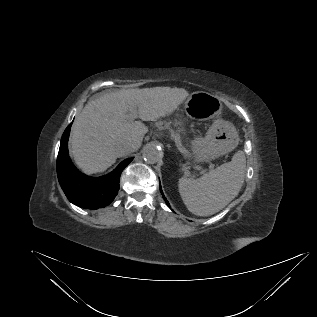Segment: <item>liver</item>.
I'll use <instances>...</instances> for the list:
<instances>
[{"label":"liver","instance_id":"liver-1","mask_svg":"<svg viewBox=\"0 0 317 317\" xmlns=\"http://www.w3.org/2000/svg\"><path fill=\"white\" fill-rule=\"evenodd\" d=\"M183 88L123 89L89 101L75 118L70 147L76 165L87 174L103 172L118 157V146L130 142L140 147L148 128L141 121H155L183 103Z\"/></svg>","mask_w":317,"mask_h":317}]
</instances>
